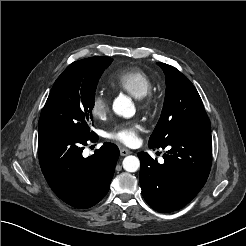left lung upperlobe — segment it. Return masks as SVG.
<instances>
[{
	"instance_id": "left-lung-upper-lobe-1",
	"label": "left lung upper lobe",
	"mask_w": 246,
	"mask_h": 246,
	"mask_svg": "<svg viewBox=\"0 0 246 246\" xmlns=\"http://www.w3.org/2000/svg\"><path fill=\"white\" fill-rule=\"evenodd\" d=\"M157 64L166 76V95L149 145L159 148L175 136L211 134V124L202 100L190 80L173 66Z\"/></svg>"
}]
</instances>
